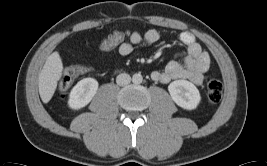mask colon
I'll use <instances>...</instances> for the list:
<instances>
[{"label": "colon", "instance_id": "5ec220e1", "mask_svg": "<svg viewBox=\"0 0 267 166\" xmlns=\"http://www.w3.org/2000/svg\"><path fill=\"white\" fill-rule=\"evenodd\" d=\"M128 38V31L125 28H118L110 37L103 40L99 47L101 50H110L115 46H120L126 39ZM80 68H84L82 66H78ZM75 74L73 71H68L59 83V91L62 96H65L70 89L72 82L75 78ZM206 93H207V101L210 104L218 103L223 96V85L222 83L213 78L208 77L206 80Z\"/></svg>", "mask_w": 267, "mask_h": 166}]
</instances>
